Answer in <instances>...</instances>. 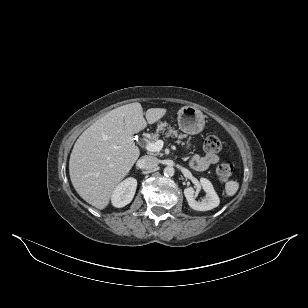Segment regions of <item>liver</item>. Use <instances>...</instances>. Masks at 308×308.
<instances>
[{
    "instance_id": "liver-1",
    "label": "liver",
    "mask_w": 308,
    "mask_h": 308,
    "mask_svg": "<svg viewBox=\"0 0 308 308\" xmlns=\"http://www.w3.org/2000/svg\"><path fill=\"white\" fill-rule=\"evenodd\" d=\"M164 108H150L143 117L140 103L109 111L77 139L69 160V174L77 193L90 205L104 209L114 190L140 155L132 135L165 116Z\"/></svg>"
}]
</instances>
